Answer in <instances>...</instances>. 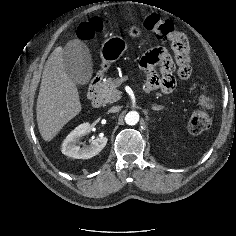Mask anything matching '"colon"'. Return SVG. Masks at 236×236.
<instances>
[{
	"label": "colon",
	"mask_w": 236,
	"mask_h": 236,
	"mask_svg": "<svg viewBox=\"0 0 236 236\" xmlns=\"http://www.w3.org/2000/svg\"><path fill=\"white\" fill-rule=\"evenodd\" d=\"M105 23L100 18H92L78 28L77 34L81 40L90 41L104 29ZM144 27L159 40L169 41L175 54L186 56L189 43L184 35L179 33L171 21L152 14L145 18ZM213 106L211 96L203 91L199 97V109L190 117L188 128L193 134H199L208 130L211 126L209 111Z\"/></svg>",
	"instance_id": "colon-1"
}]
</instances>
